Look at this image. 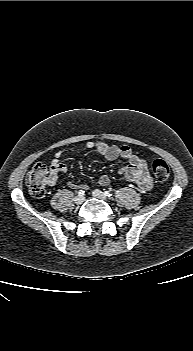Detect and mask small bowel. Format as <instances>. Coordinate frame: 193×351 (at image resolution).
<instances>
[{"label":"small bowel","mask_w":193,"mask_h":351,"mask_svg":"<svg viewBox=\"0 0 193 351\" xmlns=\"http://www.w3.org/2000/svg\"><path fill=\"white\" fill-rule=\"evenodd\" d=\"M85 148L94 151L108 161H116L118 158L124 159L127 162L126 165L119 168V173L124 176V179L128 182L135 183L143 191H148L152 188L153 182L146 162L135 155L129 146H117L103 141H87L85 143ZM66 156L67 152L58 151L51 160L50 183L52 185L59 182V174L65 173L68 170L67 164L62 161ZM109 183L110 178L107 175H102L98 179V185L100 186H107ZM68 185L74 189H86V186L79 185L72 181L68 182Z\"/></svg>","instance_id":"c3829d8e"}]
</instances>
